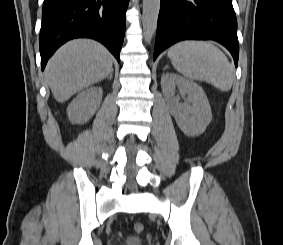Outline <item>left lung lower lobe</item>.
<instances>
[{"label":"left lung lower lobe","instance_id":"left-lung-lower-lobe-1","mask_svg":"<svg viewBox=\"0 0 283 245\" xmlns=\"http://www.w3.org/2000/svg\"><path fill=\"white\" fill-rule=\"evenodd\" d=\"M215 40L238 64L237 20L231 0H161L154 60L174 43L186 40Z\"/></svg>","mask_w":283,"mask_h":245}]
</instances>
